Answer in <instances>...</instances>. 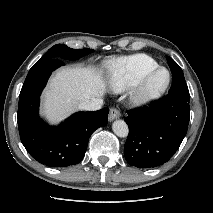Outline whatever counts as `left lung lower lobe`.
<instances>
[{"mask_svg": "<svg viewBox=\"0 0 213 213\" xmlns=\"http://www.w3.org/2000/svg\"><path fill=\"white\" fill-rule=\"evenodd\" d=\"M129 135L124 146L127 162L138 168L166 163L178 150L190 120L189 97L168 94L124 119Z\"/></svg>", "mask_w": 213, "mask_h": 213, "instance_id": "obj_1", "label": "left lung lower lobe"}]
</instances>
